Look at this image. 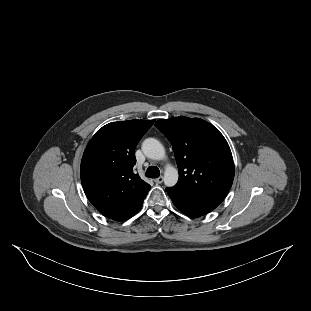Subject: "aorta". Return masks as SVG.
Returning <instances> with one entry per match:
<instances>
[{
	"instance_id": "1",
	"label": "aorta",
	"mask_w": 311,
	"mask_h": 311,
	"mask_svg": "<svg viewBox=\"0 0 311 311\" xmlns=\"http://www.w3.org/2000/svg\"><path fill=\"white\" fill-rule=\"evenodd\" d=\"M142 152L152 160H162L165 158V149L163 145L155 138H147L142 143ZM178 182V171L173 166L168 165L164 172V184L172 187Z\"/></svg>"
}]
</instances>
